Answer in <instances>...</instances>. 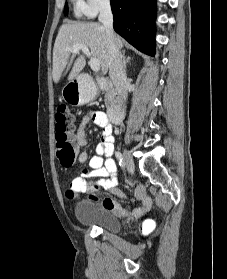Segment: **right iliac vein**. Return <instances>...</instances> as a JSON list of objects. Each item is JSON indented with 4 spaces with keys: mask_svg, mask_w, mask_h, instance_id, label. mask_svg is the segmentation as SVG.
Listing matches in <instances>:
<instances>
[{
    "mask_svg": "<svg viewBox=\"0 0 227 279\" xmlns=\"http://www.w3.org/2000/svg\"><path fill=\"white\" fill-rule=\"evenodd\" d=\"M123 155H124V161H125V164H126L128 170L130 172H133V170H134V161H133L132 156L130 155L129 151L126 150V149H123Z\"/></svg>",
    "mask_w": 227,
    "mask_h": 279,
    "instance_id": "1",
    "label": "right iliac vein"
}]
</instances>
